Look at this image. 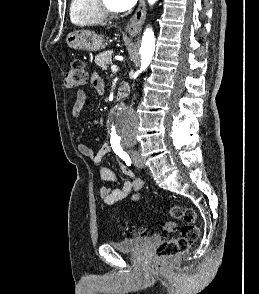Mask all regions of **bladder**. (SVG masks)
Listing matches in <instances>:
<instances>
[{"label": "bladder", "instance_id": "obj_1", "mask_svg": "<svg viewBox=\"0 0 259 294\" xmlns=\"http://www.w3.org/2000/svg\"><path fill=\"white\" fill-rule=\"evenodd\" d=\"M157 240H159V236L157 235L148 237H130L119 241L109 242V245L120 252H139Z\"/></svg>", "mask_w": 259, "mask_h": 294}]
</instances>
